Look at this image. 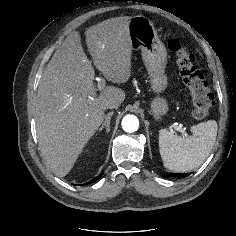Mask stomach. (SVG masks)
I'll use <instances>...</instances> for the list:
<instances>
[{
	"label": "stomach",
	"instance_id": "stomach-1",
	"mask_svg": "<svg viewBox=\"0 0 236 236\" xmlns=\"http://www.w3.org/2000/svg\"><path fill=\"white\" fill-rule=\"evenodd\" d=\"M128 31L133 50H141V56L149 74V82L156 96L150 103V113L156 121H161L169 111V104L163 93L168 86L165 74L167 51L157 35L153 23L144 16H134L129 20Z\"/></svg>",
	"mask_w": 236,
	"mask_h": 236
}]
</instances>
